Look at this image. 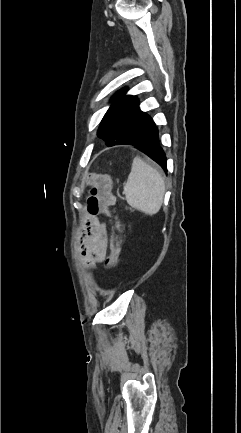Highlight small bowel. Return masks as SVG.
Masks as SVG:
<instances>
[{"label": "small bowel", "mask_w": 241, "mask_h": 433, "mask_svg": "<svg viewBox=\"0 0 241 433\" xmlns=\"http://www.w3.org/2000/svg\"><path fill=\"white\" fill-rule=\"evenodd\" d=\"M87 211L88 213L83 219L79 249L83 264L87 268H95L98 263L106 260L107 232L105 223L90 211L89 201Z\"/></svg>", "instance_id": "obj_1"}]
</instances>
